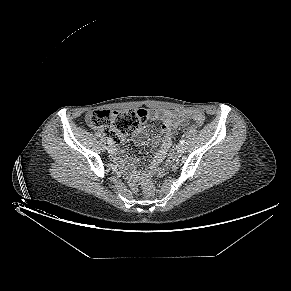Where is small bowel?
I'll list each match as a JSON object with an SVG mask.
<instances>
[{"label": "small bowel", "instance_id": "small-bowel-1", "mask_svg": "<svg viewBox=\"0 0 291 291\" xmlns=\"http://www.w3.org/2000/svg\"><path fill=\"white\" fill-rule=\"evenodd\" d=\"M151 119L159 120L161 125V136H154L151 138V144L158 145L160 143V150L155 155L153 161L147 169L156 170L157 166L163 161L165 155L171 145L173 130L184 123V119L176 113L167 110H153L150 114ZM134 141L138 145H145L148 141V135L144 130H139L134 134ZM138 174L136 172L132 175V180L136 181Z\"/></svg>", "mask_w": 291, "mask_h": 291}]
</instances>
